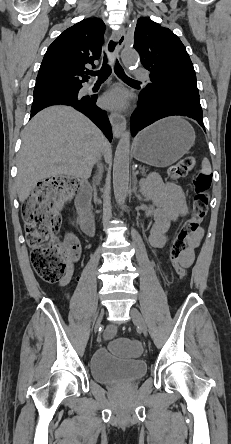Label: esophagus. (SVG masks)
Wrapping results in <instances>:
<instances>
[{"instance_id": "34e87169", "label": "esophagus", "mask_w": 231, "mask_h": 444, "mask_svg": "<svg viewBox=\"0 0 231 444\" xmlns=\"http://www.w3.org/2000/svg\"><path fill=\"white\" fill-rule=\"evenodd\" d=\"M125 41V28L122 27L117 33H113L106 45V53L110 60L118 59L121 48ZM109 120L112 125L113 135L118 138L126 127V119L119 113H111Z\"/></svg>"}]
</instances>
